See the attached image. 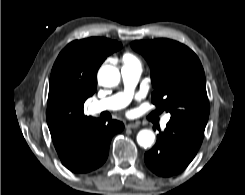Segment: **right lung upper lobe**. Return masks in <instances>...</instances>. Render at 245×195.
I'll list each match as a JSON object with an SVG mask.
<instances>
[{
  "mask_svg": "<svg viewBox=\"0 0 245 195\" xmlns=\"http://www.w3.org/2000/svg\"><path fill=\"white\" fill-rule=\"evenodd\" d=\"M121 47L117 41L91 37L69 43L58 55L50 76L46 117L60 158L69 157L86 128L98 120L84 115V102L97 88L102 62Z\"/></svg>",
  "mask_w": 245,
  "mask_h": 195,
  "instance_id": "right-lung-upper-lobe-1",
  "label": "right lung upper lobe"
}]
</instances>
